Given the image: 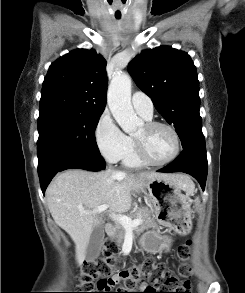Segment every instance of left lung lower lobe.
<instances>
[{
  "label": "left lung lower lobe",
  "instance_id": "0a47b994",
  "mask_svg": "<svg viewBox=\"0 0 245 293\" xmlns=\"http://www.w3.org/2000/svg\"><path fill=\"white\" fill-rule=\"evenodd\" d=\"M207 157L206 151L185 149L168 166L158 170V172H184L193 176L205 189L207 178Z\"/></svg>",
  "mask_w": 245,
  "mask_h": 293
}]
</instances>
